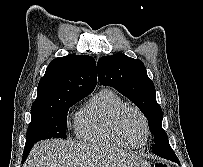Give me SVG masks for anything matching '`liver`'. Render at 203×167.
Wrapping results in <instances>:
<instances>
[{"label": "liver", "mask_w": 203, "mask_h": 167, "mask_svg": "<svg viewBox=\"0 0 203 167\" xmlns=\"http://www.w3.org/2000/svg\"><path fill=\"white\" fill-rule=\"evenodd\" d=\"M23 167H150L134 154L72 140L50 139L35 145Z\"/></svg>", "instance_id": "liver-1"}]
</instances>
